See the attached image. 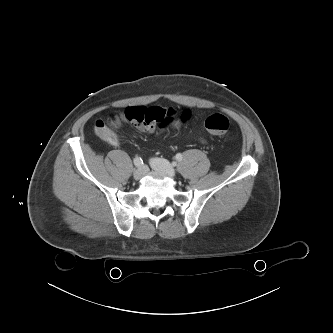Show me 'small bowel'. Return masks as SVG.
<instances>
[{
  "label": "small bowel",
  "mask_w": 333,
  "mask_h": 333,
  "mask_svg": "<svg viewBox=\"0 0 333 333\" xmlns=\"http://www.w3.org/2000/svg\"><path fill=\"white\" fill-rule=\"evenodd\" d=\"M175 110L161 107H128L122 114L123 120L133 124L137 129L149 134L162 133L171 123L174 122ZM190 118V112L185 111L180 116L181 122ZM108 142L111 145L119 143L118 137L114 134Z\"/></svg>",
  "instance_id": "c3829d8e"
}]
</instances>
